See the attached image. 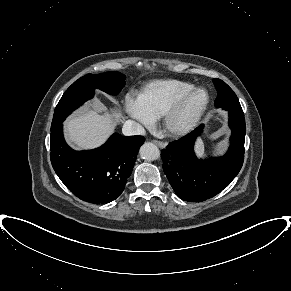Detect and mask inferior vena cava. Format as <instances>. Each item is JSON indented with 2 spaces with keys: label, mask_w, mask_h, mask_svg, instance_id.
Listing matches in <instances>:
<instances>
[{
  "label": "inferior vena cava",
  "mask_w": 291,
  "mask_h": 291,
  "mask_svg": "<svg viewBox=\"0 0 291 291\" xmlns=\"http://www.w3.org/2000/svg\"><path fill=\"white\" fill-rule=\"evenodd\" d=\"M122 132L126 136L144 135L145 129L139 123L133 120H128L124 123Z\"/></svg>",
  "instance_id": "inferior-vena-cava-1"
}]
</instances>
